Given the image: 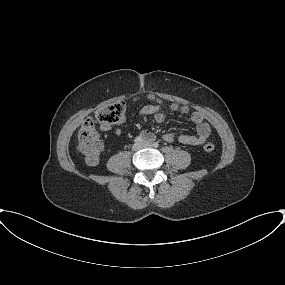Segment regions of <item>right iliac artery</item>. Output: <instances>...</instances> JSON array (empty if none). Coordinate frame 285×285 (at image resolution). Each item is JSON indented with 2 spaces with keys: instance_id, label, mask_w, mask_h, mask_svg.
Segmentation results:
<instances>
[{
  "instance_id": "82829eb1",
  "label": "right iliac artery",
  "mask_w": 285,
  "mask_h": 285,
  "mask_svg": "<svg viewBox=\"0 0 285 285\" xmlns=\"http://www.w3.org/2000/svg\"><path fill=\"white\" fill-rule=\"evenodd\" d=\"M142 141H143V139L140 136L136 137L134 140L135 143H141Z\"/></svg>"
}]
</instances>
